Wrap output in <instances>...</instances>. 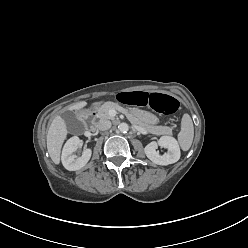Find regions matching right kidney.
Here are the masks:
<instances>
[{"instance_id": "ca27d5eb", "label": "right kidney", "mask_w": 248, "mask_h": 248, "mask_svg": "<svg viewBox=\"0 0 248 248\" xmlns=\"http://www.w3.org/2000/svg\"><path fill=\"white\" fill-rule=\"evenodd\" d=\"M80 139L77 136L70 138L64 145L62 151V164L69 171H76L83 168L91 158L92 150L87 148L82 152V156L78 157L74 154L77 150Z\"/></svg>"}]
</instances>
